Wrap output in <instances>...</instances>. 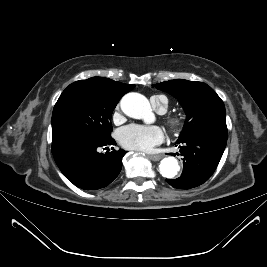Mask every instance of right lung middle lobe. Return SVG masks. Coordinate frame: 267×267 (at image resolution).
<instances>
[{"instance_id":"1","label":"right lung middle lobe","mask_w":267,"mask_h":267,"mask_svg":"<svg viewBox=\"0 0 267 267\" xmlns=\"http://www.w3.org/2000/svg\"><path fill=\"white\" fill-rule=\"evenodd\" d=\"M122 95L90 81L70 84L52 114V142L67 138L106 140L111 137V115Z\"/></svg>"}]
</instances>
